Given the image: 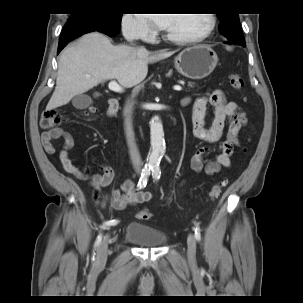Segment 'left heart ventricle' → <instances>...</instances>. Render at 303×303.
I'll list each match as a JSON object with an SVG mask.
<instances>
[{
	"mask_svg": "<svg viewBox=\"0 0 303 303\" xmlns=\"http://www.w3.org/2000/svg\"><path fill=\"white\" fill-rule=\"evenodd\" d=\"M209 24L207 14H173L167 32L175 36H192L203 32Z\"/></svg>",
	"mask_w": 303,
	"mask_h": 303,
	"instance_id": "left-heart-ventricle-1",
	"label": "left heart ventricle"
}]
</instances>
